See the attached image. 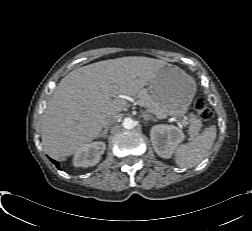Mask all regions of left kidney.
Segmentation results:
<instances>
[{"label": "left kidney", "mask_w": 252, "mask_h": 231, "mask_svg": "<svg viewBox=\"0 0 252 231\" xmlns=\"http://www.w3.org/2000/svg\"><path fill=\"white\" fill-rule=\"evenodd\" d=\"M150 138L155 152L162 158H170L185 136L176 126L155 125L150 130Z\"/></svg>", "instance_id": "1"}]
</instances>
